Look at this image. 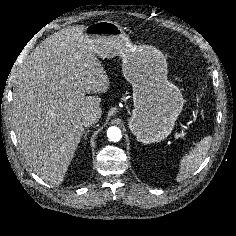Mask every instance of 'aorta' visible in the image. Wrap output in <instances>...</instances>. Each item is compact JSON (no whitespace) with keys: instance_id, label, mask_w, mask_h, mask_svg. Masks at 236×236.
Returning a JSON list of instances; mask_svg holds the SVG:
<instances>
[{"instance_id":"762f6f07","label":"aorta","mask_w":236,"mask_h":236,"mask_svg":"<svg viewBox=\"0 0 236 236\" xmlns=\"http://www.w3.org/2000/svg\"><path fill=\"white\" fill-rule=\"evenodd\" d=\"M107 137L110 141L118 142L122 138L121 130L116 126L109 127L107 130Z\"/></svg>"}]
</instances>
